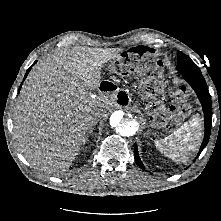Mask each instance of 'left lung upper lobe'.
I'll use <instances>...</instances> for the list:
<instances>
[{"label": "left lung upper lobe", "instance_id": "obj_1", "mask_svg": "<svg viewBox=\"0 0 221 221\" xmlns=\"http://www.w3.org/2000/svg\"><path fill=\"white\" fill-rule=\"evenodd\" d=\"M177 70L180 73H201L199 67L184 53L178 51Z\"/></svg>", "mask_w": 221, "mask_h": 221}]
</instances>
